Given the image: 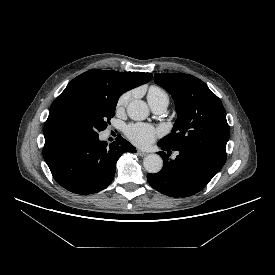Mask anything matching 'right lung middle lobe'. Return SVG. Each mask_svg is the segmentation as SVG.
<instances>
[{"label": "right lung middle lobe", "mask_w": 275, "mask_h": 275, "mask_svg": "<svg viewBox=\"0 0 275 275\" xmlns=\"http://www.w3.org/2000/svg\"><path fill=\"white\" fill-rule=\"evenodd\" d=\"M118 96L79 92L61 100L45 123L52 135L96 137L115 115Z\"/></svg>", "instance_id": "1"}]
</instances>
